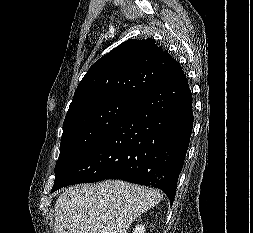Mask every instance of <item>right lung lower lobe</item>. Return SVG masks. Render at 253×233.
<instances>
[{"label": "right lung lower lobe", "mask_w": 253, "mask_h": 233, "mask_svg": "<svg viewBox=\"0 0 253 233\" xmlns=\"http://www.w3.org/2000/svg\"><path fill=\"white\" fill-rule=\"evenodd\" d=\"M192 128V94L181 69L137 98L51 192L71 184L121 179L157 187L172 204Z\"/></svg>", "instance_id": "obj_1"}]
</instances>
